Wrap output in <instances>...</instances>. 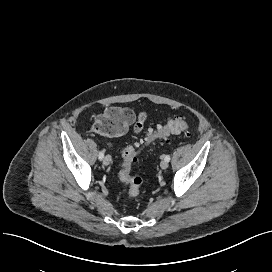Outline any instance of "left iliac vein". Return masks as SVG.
Masks as SVG:
<instances>
[{"label":"left iliac vein","instance_id":"obj_1","mask_svg":"<svg viewBox=\"0 0 272 272\" xmlns=\"http://www.w3.org/2000/svg\"><path fill=\"white\" fill-rule=\"evenodd\" d=\"M160 167H161V169H167L168 168V162L166 161V160H162L161 162H160Z\"/></svg>","mask_w":272,"mask_h":272}]
</instances>
